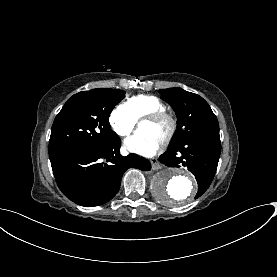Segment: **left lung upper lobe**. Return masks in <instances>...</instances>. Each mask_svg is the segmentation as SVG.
Masks as SVG:
<instances>
[{"mask_svg":"<svg viewBox=\"0 0 277 277\" xmlns=\"http://www.w3.org/2000/svg\"><path fill=\"white\" fill-rule=\"evenodd\" d=\"M177 115V132L171 147L191 137L219 133L218 120L208 103L199 95L181 88L159 90Z\"/></svg>","mask_w":277,"mask_h":277,"instance_id":"obj_1","label":"left lung upper lobe"}]
</instances>
